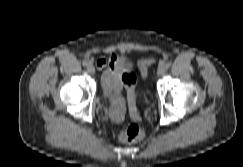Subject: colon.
<instances>
[{
    "mask_svg": "<svg viewBox=\"0 0 243 167\" xmlns=\"http://www.w3.org/2000/svg\"><path fill=\"white\" fill-rule=\"evenodd\" d=\"M153 63V59L144 58L137 62V67L139 68L142 76H146L147 68ZM137 78L134 72H124L121 75V82L125 85L128 91V98L131 105L135 104L134 87ZM144 136L142 129L137 124L128 125L125 130L120 135V140L124 143H135L141 140Z\"/></svg>",
    "mask_w": 243,
    "mask_h": 167,
    "instance_id": "5ec220e1",
    "label": "colon"
}]
</instances>
